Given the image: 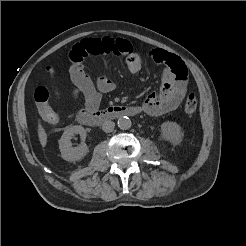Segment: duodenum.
Listing matches in <instances>:
<instances>
[{"mask_svg": "<svg viewBox=\"0 0 246 246\" xmlns=\"http://www.w3.org/2000/svg\"><path fill=\"white\" fill-rule=\"evenodd\" d=\"M141 112V109L132 105H115L103 110L83 109L77 114V121L86 126H99L105 121L116 119L123 116H135Z\"/></svg>", "mask_w": 246, "mask_h": 246, "instance_id": "duodenum-1", "label": "duodenum"}]
</instances>
